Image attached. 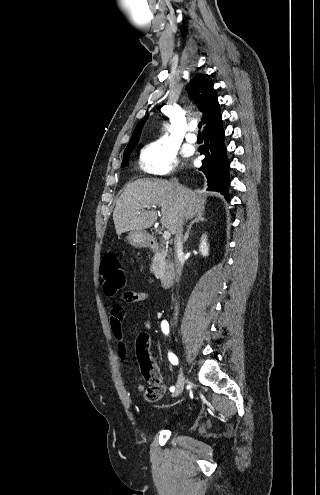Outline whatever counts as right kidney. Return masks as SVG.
Listing matches in <instances>:
<instances>
[{"label":"right kidney","mask_w":320,"mask_h":495,"mask_svg":"<svg viewBox=\"0 0 320 495\" xmlns=\"http://www.w3.org/2000/svg\"><path fill=\"white\" fill-rule=\"evenodd\" d=\"M199 251L201 253V255H203L204 257L208 256V252H209V245L207 244V236L206 234L202 235L201 237V242H200V245H199Z\"/></svg>","instance_id":"right-kidney-1"}]
</instances>
